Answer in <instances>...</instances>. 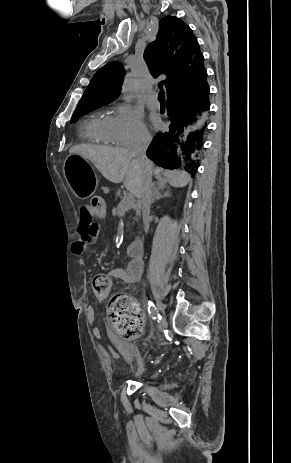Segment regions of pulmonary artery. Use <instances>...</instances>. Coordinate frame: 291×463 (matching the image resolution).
<instances>
[{"instance_id":"obj_1","label":"pulmonary artery","mask_w":291,"mask_h":463,"mask_svg":"<svg viewBox=\"0 0 291 463\" xmlns=\"http://www.w3.org/2000/svg\"><path fill=\"white\" fill-rule=\"evenodd\" d=\"M147 105L150 109L157 110L160 108V103L157 99V94L152 93L147 99Z\"/></svg>"}]
</instances>
